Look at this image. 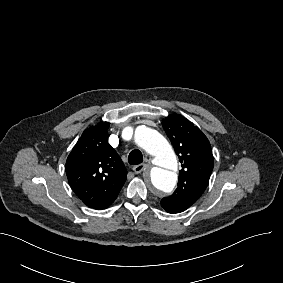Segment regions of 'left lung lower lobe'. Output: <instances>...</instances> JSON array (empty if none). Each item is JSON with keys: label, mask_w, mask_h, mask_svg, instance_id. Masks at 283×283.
I'll return each mask as SVG.
<instances>
[{"label": "left lung lower lobe", "mask_w": 283, "mask_h": 283, "mask_svg": "<svg viewBox=\"0 0 283 283\" xmlns=\"http://www.w3.org/2000/svg\"><path fill=\"white\" fill-rule=\"evenodd\" d=\"M162 207H163V208L165 209V211L168 212V213H180V212L175 211V210H172V209H170V208H168V207H166V206H164V205H162Z\"/></svg>", "instance_id": "0a47b994"}]
</instances>
